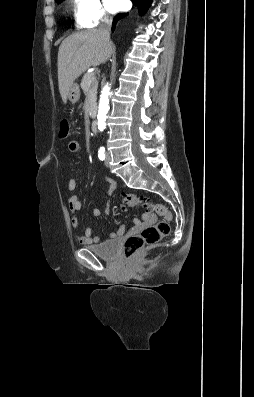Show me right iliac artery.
Masks as SVG:
<instances>
[{"label":"right iliac artery","instance_id":"right-iliac-artery-1","mask_svg":"<svg viewBox=\"0 0 254 397\" xmlns=\"http://www.w3.org/2000/svg\"><path fill=\"white\" fill-rule=\"evenodd\" d=\"M98 157L100 160H104L106 157V152L104 148H100L99 152H98Z\"/></svg>","mask_w":254,"mask_h":397}]
</instances>
